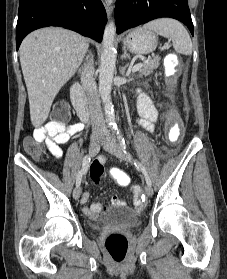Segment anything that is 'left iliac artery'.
Masks as SVG:
<instances>
[{"label":"left iliac artery","instance_id":"44dca946","mask_svg":"<svg viewBox=\"0 0 227 279\" xmlns=\"http://www.w3.org/2000/svg\"><path fill=\"white\" fill-rule=\"evenodd\" d=\"M117 138H118V141H119V144H120L122 150L124 152H126V148H127L126 141H125L124 137L122 136L120 130H117ZM135 166L141 169L142 173L145 176L147 185L151 186L152 182H151V179H150L145 167L142 164H140L139 162H135Z\"/></svg>","mask_w":227,"mask_h":279}]
</instances>
